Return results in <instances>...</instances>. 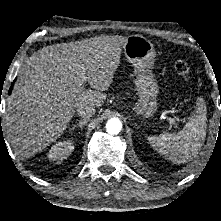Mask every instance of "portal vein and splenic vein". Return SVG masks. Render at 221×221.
<instances>
[{
  "label": "portal vein and splenic vein",
  "mask_w": 221,
  "mask_h": 221,
  "mask_svg": "<svg viewBox=\"0 0 221 221\" xmlns=\"http://www.w3.org/2000/svg\"><path fill=\"white\" fill-rule=\"evenodd\" d=\"M167 121H168L169 123L173 124V125L176 124L175 119H173V118H171V117L167 118Z\"/></svg>",
  "instance_id": "portal-vein-and-splenic-vein-1"
}]
</instances>
